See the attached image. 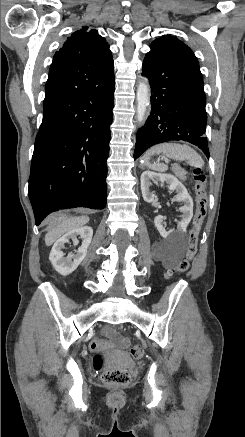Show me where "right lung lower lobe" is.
<instances>
[{
  "label": "right lung lower lobe",
  "instance_id": "right-lung-lower-lobe-1",
  "mask_svg": "<svg viewBox=\"0 0 245 437\" xmlns=\"http://www.w3.org/2000/svg\"><path fill=\"white\" fill-rule=\"evenodd\" d=\"M114 79L43 109L28 194L36 225L64 208L104 209Z\"/></svg>",
  "mask_w": 245,
  "mask_h": 437
}]
</instances>
